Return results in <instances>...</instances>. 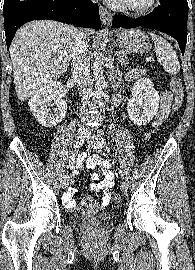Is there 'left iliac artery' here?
Returning a JSON list of instances; mask_svg holds the SVG:
<instances>
[{
  "label": "left iliac artery",
  "instance_id": "1",
  "mask_svg": "<svg viewBox=\"0 0 195 270\" xmlns=\"http://www.w3.org/2000/svg\"><path fill=\"white\" fill-rule=\"evenodd\" d=\"M102 143H103V147L105 148V150L109 151V148L107 145H105V140L102 138ZM118 171L120 173V175L123 177V171L118 167Z\"/></svg>",
  "mask_w": 195,
  "mask_h": 270
}]
</instances>
